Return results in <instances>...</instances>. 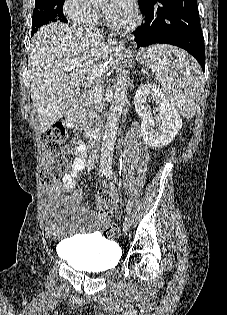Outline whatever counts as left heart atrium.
<instances>
[{
    "instance_id": "39dd6f15",
    "label": "left heart atrium",
    "mask_w": 227,
    "mask_h": 315,
    "mask_svg": "<svg viewBox=\"0 0 227 315\" xmlns=\"http://www.w3.org/2000/svg\"><path fill=\"white\" fill-rule=\"evenodd\" d=\"M132 7V0H107L104 13L110 22L124 26L131 19Z\"/></svg>"
}]
</instances>
